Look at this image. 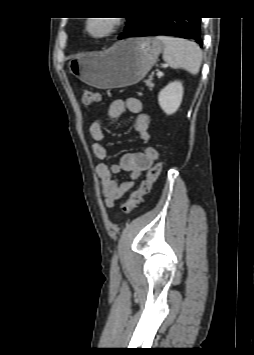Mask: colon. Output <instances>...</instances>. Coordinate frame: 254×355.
Returning a JSON list of instances; mask_svg holds the SVG:
<instances>
[{
    "mask_svg": "<svg viewBox=\"0 0 254 355\" xmlns=\"http://www.w3.org/2000/svg\"><path fill=\"white\" fill-rule=\"evenodd\" d=\"M100 100V95L92 90H84L82 92L81 101L84 107H93ZM163 167L162 162H157L147 172L146 177L141 180L138 189L133 191L129 198L122 204L121 210L123 213H131L143 200V197L147 195L153 183L158 179Z\"/></svg>",
    "mask_w": 254,
    "mask_h": 355,
    "instance_id": "colon-1",
    "label": "colon"
}]
</instances>
